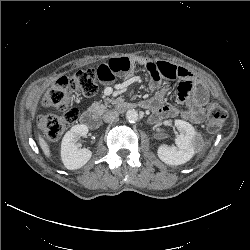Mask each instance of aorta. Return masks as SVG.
I'll return each instance as SVG.
<instances>
[{"instance_id":"1","label":"aorta","mask_w":250,"mask_h":250,"mask_svg":"<svg viewBox=\"0 0 250 250\" xmlns=\"http://www.w3.org/2000/svg\"><path fill=\"white\" fill-rule=\"evenodd\" d=\"M126 119L128 120V122L130 123H135L138 121L139 119V115L138 112L134 109H130L126 112Z\"/></svg>"}]
</instances>
